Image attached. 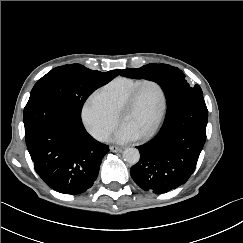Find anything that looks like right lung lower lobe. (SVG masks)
Masks as SVG:
<instances>
[{"instance_id":"right-lung-lower-lobe-1","label":"right lung lower lobe","mask_w":243,"mask_h":243,"mask_svg":"<svg viewBox=\"0 0 243 243\" xmlns=\"http://www.w3.org/2000/svg\"><path fill=\"white\" fill-rule=\"evenodd\" d=\"M23 118L27 148L41 179L64 194L90 188L109 147L87 133L81 115L62 101L33 96Z\"/></svg>"}]
</instances>
